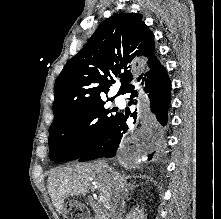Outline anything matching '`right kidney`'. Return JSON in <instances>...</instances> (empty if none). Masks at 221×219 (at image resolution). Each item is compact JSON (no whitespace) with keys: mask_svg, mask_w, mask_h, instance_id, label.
<instances>
[{"mask_svg":"<svg viewBox=\"0 0 221 219\" xmlns=\"http://www.w3.org/2000/svg\"><path fill=\"white\" fill-rule=\"evenodd\" d=\"M126 219H146V215L143 208L139 209V206H137L129 212Z\"/></svg>","mask_w":221,"mask_h":219,"instance_id":"ca27d5eb","label":"right kidney"}]
</instances>
